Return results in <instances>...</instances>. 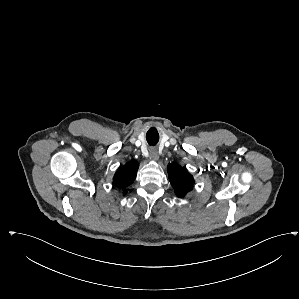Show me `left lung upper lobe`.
<instances>
[{
  "label": "left lung upper lobe",
  "mask_w": 299,
  "mask_h": 299,
  "mask_svg": "<svg viewBox=\"0 0 299 299\" xmlns=\"http://www.w3.org/2000/svg\"><path fill=\"white\" fill-rule=\"evenodd\" d=\"M168 176L178 197H184L192 190V186L194 184L193 176L183 167L177 164H169Z\"/></svg>",
  "instance_id": "obj_1"
}]
</instances>
